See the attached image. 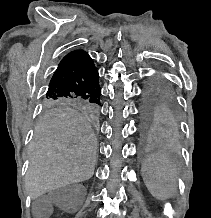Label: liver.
Segmentation results:
<instances>
[{
  "label": "liver",
  "instance_id": "obj_1",
  "mask_svg": "<svg viewBox=\"0 0 211 218\" xmlns=\"http://www.w3.org/2000/svg\"><path fill=\"white\" fill-rule=\"evenodd\" d=\"M96 150V138L79 112H46L31 142L26 192L35 200L55 188L89 180L94 174Z\"/></svg>",
  "mask_w": 211,
  "mask_h": 218
}]
</instances>
